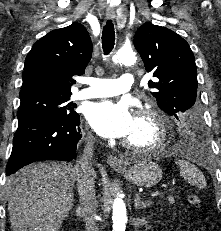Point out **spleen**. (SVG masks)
Listing matches in <instances>:
<instances>
[{
  "instance_id": "3e777b00",
  "label": "spleen",
  "mask_w": 221,
  "mask_h": 231,
  "mask_svg": "<svg viewBox=\"0 0 221 231\" xmlns=\"http://www.w3.org/2000/svg\"><path fill=\"white\" fill-rule=\"evenodd\" d=\"M175 163L180 167V174L187 182L198 188H205V178L196 166L186 160H176Z\"/></svg>"
}]
</instances>
